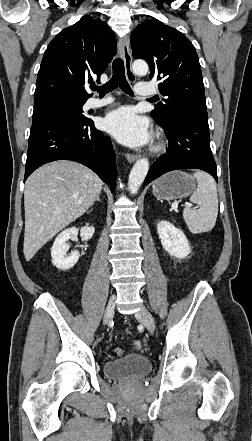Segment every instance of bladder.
<instances>
[{"mask_svg":"<svg viewBox=\"0 0 252 441\" xmlns=\"http://www.w3.org/2000/svg\"><path fill=\"white\" fill-rule=\"evenodd\" d=\"M151 367L147 357L133 354L105 362L104 373L113 380H136L146 376Z\"/></svg>","mask_w":252,"mask_h":441,"instance_id":"31cf9c89","label":"bladder"}]
</instances>
